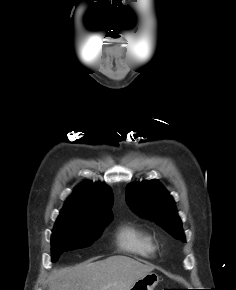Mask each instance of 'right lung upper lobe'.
Wrapping results in <instances>:
<instances>
[{"instance_id": "cb5924a9", "label": "right lung upper lobe", "mask_w": 236, "mask_h": 290, "mask_svg": "<svg viewBox=\"0 0 236 290\" xmlns=\"http://www.w3.org/2000/svg\"><path fill=\"white\" fill-rule=\"evenodd\" d=\"M113 193L102 183H83L77 186L66 201L60 218L88 219L111 215Z\"/></svg>"}]
</instances>
